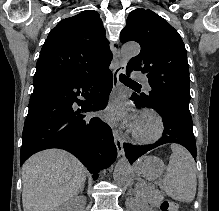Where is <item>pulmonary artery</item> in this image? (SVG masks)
<instances>
[{
	"mask_svg": "<svg viewBox=\"0 0 219 211\" xmlns=\"http://www.w3.org/2000/svg\"><path fill=\"white\" fill-rule=\"evenodd\" d=\"M132 80H143V75H132ZM145 84V86H146V88L147 89H149L150 87H149V85H148V83H144Z\"/></svg>",
	"mask_w": 219,
	"mask_h": 211,
	"instance_id": "e3ab8cb5",
	"label": "pulmonary artery"
}]
</instances>
